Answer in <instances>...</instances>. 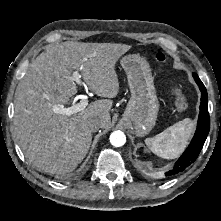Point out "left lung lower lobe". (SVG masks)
<instances>
[{
	"label": "left lung lower lobe",
	"instance_id": "1",
	"mask_svg": "<svg viewBox=\"0 0 221 221\" xmlns=\"http://www.w3.org/2000/svg\"><path fill=\"white\" fill-rule=\"evenodd\" d=\"M194 79L201 91L200 113L198 118L197 130L188 148L176 161L173 168L165 173L166 176H174L184 171L189 165H191L196 160L210 130V118L208 113V95L206 92V88L202 81L199 79V77H196Z\"/></svg>",
	"mask_w": 221,
	"mask_h": 221
}]
</instances>
